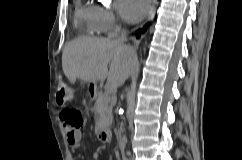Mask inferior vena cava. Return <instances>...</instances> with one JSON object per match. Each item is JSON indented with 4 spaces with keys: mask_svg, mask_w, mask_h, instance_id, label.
Here are the masks:
<instances>
[{
    "mask_svg": "<svg viewBox=\"0 0 242 160\" xmlns=\"http://www.w3.org/2000/svg\"><path fill=\"white\" fill-rule=\"evenodd\" d=\"M127 41V31L125 29H122L121 34L119 36V38L116 40L117 43L127 46L124 43ZM137 52L135 47H128L127 50H123L122 51V58H120V63H119V68L121 70V73H125L124 74V78L128 75L127 73H136L137 69L136 68H132V63H135V61L137 60ZM117 134V138L119 140V146L121 149V153H122V157L123 160H127V158L125 157V143L123 142L122 138H121V132L118 130L116 131Z\"/></svg>",
    "mask_w": 242,
    "mask_h": 160,
    "instance_id": "1",
    "label": "inferior vena cava"
}]
</instances>
